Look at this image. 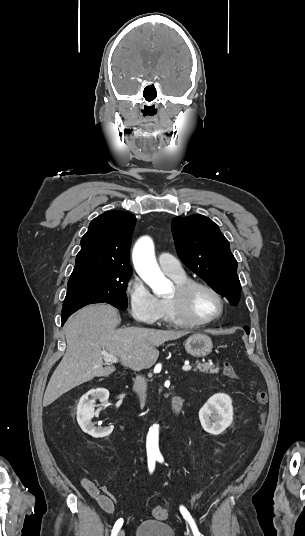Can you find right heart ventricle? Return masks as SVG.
Segmentation results:
<instances>
[{
    "mask_svg": "<svg viewBox=\"0 0 305 536\" xmlns=\"http://www.w3.org/2000/svg\"><path fill=\"white\" fill-rule=\"evenodd\" d=\"M176 284L184 283L191 280L185 273L182 276H171L168 275ZM162 303V313L160 316L161 321L167 326H179L181 323L175 316L172 311L167 299L161 300Z\"/></svg>",
    "mask_w": 305,
    "mask_h": 536,
    "instance_id": "e07e8e85",
    "label": "right heart ventricle"
}]
</instances>
